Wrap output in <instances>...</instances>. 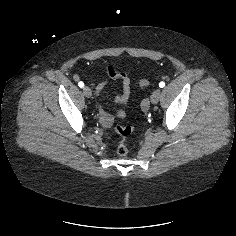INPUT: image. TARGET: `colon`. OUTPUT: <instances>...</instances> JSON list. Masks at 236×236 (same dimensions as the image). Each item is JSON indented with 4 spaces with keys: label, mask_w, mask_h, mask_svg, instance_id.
I'll return each mask as SVG.
<instances>
[{
    "label": "colon",
    "mask_w": 236,
    "mask_h": 236,
    "mask_svg": "<svg viewBox=\"0 0 236 236\" xmlns=\"http://www.w3.org/2000/svg\"><path fill=\"white\" fill-rule=\"evenodd\" d=\"M149 86V81L148 80H141L140 81V87L142 89H146ZM142 107L143 109H147L148 108V102L146 100H144L142 102ZM115 131L122 137V138H126L128 136H130L133 131H134V127L131 125H120L117 124L115 126ZM117 153L120 156H125L128 153V147L126 145V143L124 141H121L117 147Z\"/></svg>",
    "instance_id": "1"
}]
</instances>
